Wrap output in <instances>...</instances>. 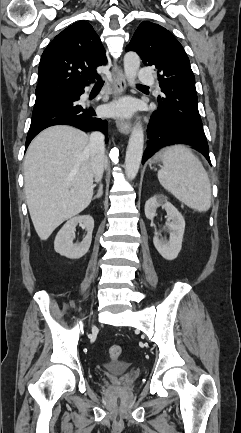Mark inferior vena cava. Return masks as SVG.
I'll list each match as a JSON object with an SVG mask.
<instances>
[{"label": "inferior vena cava", "mask_w": 241, "mask_h": 433, "mask_svg": "<svg viewBox=\"0 0 241 433\" xmlns=\"http://www.w3.org/2000/svg\"><path fill=\"white\" fill-rule=\"evenodd\" d=\"M91 153V163L96 182L100 181L104 171L105 143L104 136L100 132H93L90 135L87 146Z\"/></svg>", "instance_id": "inferior-vena-cava-1"}]
</instances>
